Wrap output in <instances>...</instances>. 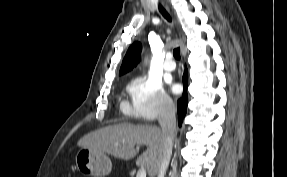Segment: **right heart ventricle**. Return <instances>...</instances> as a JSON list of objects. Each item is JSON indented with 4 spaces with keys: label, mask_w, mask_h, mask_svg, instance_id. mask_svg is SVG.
Here are the masks:
<instances>
[{
    "label": "right heart ventricle",
    "mask_w": 287,
    "mask_h": 177,
    "mask_svg": "<svg viewBox=\"0 0 287 177\" xmlns=\"http://www.w3.org/2000/svg\"><path fill=\"white\" fill-rule=\"evenodd\" d=\"M123 109H124L125 111H129V108H128V106H127L126 104H123Z\"/></svg>",
    "instance_id": "e07e8e85"
}]
</instances>
